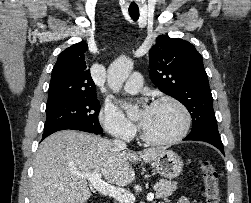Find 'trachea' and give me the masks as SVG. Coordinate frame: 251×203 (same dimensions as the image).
<instances>
[{"label": "trachea", "mask_w": 251, "mask_h": 203, "mask_svg": "<svg viewBox=\"0 0 251 203\" xmlns=\"http://www.w3.org/2000/svg\"><path fill=\"white\" fill-rule=\"evenodd\" d=\"M129 15L134 21H137L139 18V10H129Z\"/></svg>", "instance_id": "3493384b"}]
</instances>
